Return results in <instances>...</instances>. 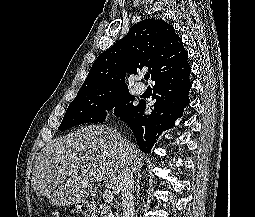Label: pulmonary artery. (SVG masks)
<instances>
[{"label":"pulmonary artery","mask_w":255,"mask_h":217,"mask_svg":"<svg viewBox=\"0 0 255 217\" xmlns=\"http://www.w3.org/2000/svg\"><path fill=\"white\" fill-rule=\"evenodd\" d=\"M137 80L138 81L141 80V77H138ZM144 91H145V86L143 84L137 82L136 85H135L136 94L141 95V94L144 93Z\"/></svg>","instance_id":"e3ab8cb5"}]
</instances>
